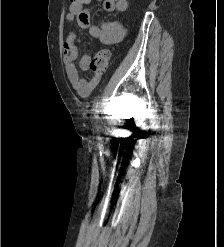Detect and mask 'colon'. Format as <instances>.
I'll return each instance as SVG.
<instances>
[{
	"label": "colon",
	"instance_id": "colon-1",
	"mask_svg": "<svg viewBox=\"0 0 224 247\" xmlns=\"http://www.w3.org/2000/svg\"><path fill=\"white\" fill-rule=\"evenodd\" d=\"M71 6L82 7L85 0H69ZM110 52L107 49L99 50L91 60L90 69L94 74H102L108 67Z\"/></svg>",
	"mask_w": 224,
	"mask_h": 247
}]
</instances>
